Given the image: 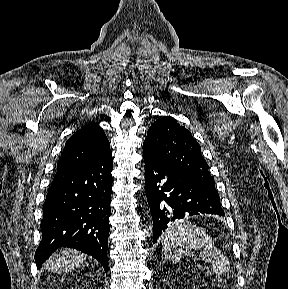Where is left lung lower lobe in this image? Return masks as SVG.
I'll use <instances>...</instances> for the list:
<instances>
[{"label":"left lung lower lobe","mask_w":288,"mask_h":289,"mask_svg":"<svg viewBox=\"0 0 288 289\" xmlns=\"http://www.w3.org/2000/svg\"><path fill=\"white\" fill-rule=\"evenodd\" d=\"M145 192L153 219V243L175 220L210 213L224 216L215 188L182 175L157 160L143 144Z\"/></svg>","instance_id":"obj_1"}]
</instances>
